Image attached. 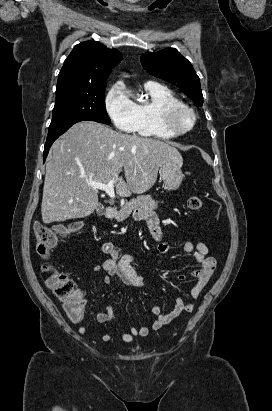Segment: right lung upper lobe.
<instances>
[{
	"mask_svg": "<svg viewBox=\"0 0 272 411\" xmlns=\"http://www.w3.org/2000/svg\"><path fill=\"white\" fill-rule=\"evenodd\" d=\"M122 60L116 49L93 41L74 47L58 75L56 92L82 89L106 83L109 74Z\"/></svg>",
	"mask_w": 272,
	"mask_h": 411,
	"instance_id": "obj_1",
	"label": "right lung upper lobe"
}]
</instances>
